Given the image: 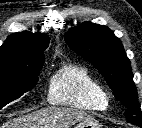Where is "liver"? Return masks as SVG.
Instances as JSON below:
<instances>
[{"mask_svg": "<svg viewBox=\"0 0 142 128\" xmlns=\"http://www.w3.org/2000/svg\"><path fill=\"white\" fill-rule=\"evenodd\" d=\"M89 118L91 116L83 111L50 107L9 120L0 128H70L74 123Z\"/></svg>", "mask_w": 142, "mask_h": 128, "instance_id": "6515ba94", "label": "liver"}]
</instances>
